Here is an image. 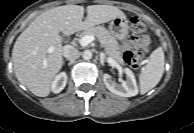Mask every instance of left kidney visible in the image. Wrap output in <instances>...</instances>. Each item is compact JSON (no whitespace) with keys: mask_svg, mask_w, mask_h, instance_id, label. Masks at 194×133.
Segmentation results:
<instances>
[{"mask_svg":"<svg viewBox=\"0 0 194 133\" xmlns=\"http://www.w3.org/2000/svg\"><path fill=\"white\" fill-rule=\"evenodd\" d=\"M126 80H122L121 84H118L112 80V77L108 74L103 75V81L107 89L121 97H132L138 94V87L133 72L125 68Z\"/></svg>","mask_w":194,"mask_h":133,"instance_id":"5707ae66","label":"left kidney"}]
</instances>
